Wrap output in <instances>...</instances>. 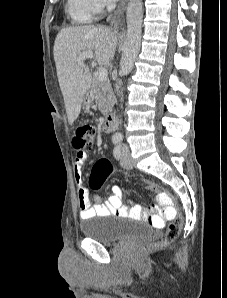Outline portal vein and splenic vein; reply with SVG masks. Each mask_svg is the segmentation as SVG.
I'll list each match as a JSON object with an SVG mask.
<instances>
[{"label":"portal vein and splenic vein","mask_w":227,"mask_h":298,"mask_svg":"<svg viewBox=\"0 0 227 298\" xmlns=\"http://www.w3.org/2000/svg\"><path fill=\"white\" fill-rule=\"evenodd\" d=\"M94 58V54L91 51H85L81 53L77 59V63L79 65H83L84 61L87 59H92ZM98 80L99 81H104L108 78V71L106 68H99L98 70Z\"/></svg>","instance_id":"18ae733b"}]
</instances>
